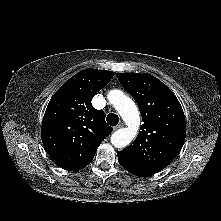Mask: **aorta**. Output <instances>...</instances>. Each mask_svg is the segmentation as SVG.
I'll use <instances>...</instances> for the list:
<instances>
[{
    "label": "aorta",
    "mask_w": 221,
    "mask_h": 221,
    "mask_svg": "<svg viewBox=\"0 0 221 221\" xmlns=\"http://www.w3.org/2000/svg\"><path fill=\"white\" fill-rule=\"evenodd\" d=\"M108 100L114 105L117 112L127 125L111 135V143L115 148L128 146L136 137L140 126V114L133 100L120 90H112L108 94Z\"/></svg>",
    "instance_id": "obj_1"
}]
</instances>
